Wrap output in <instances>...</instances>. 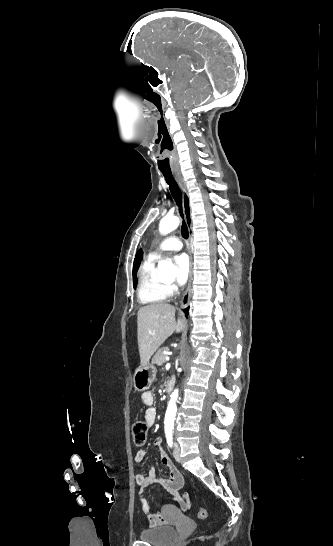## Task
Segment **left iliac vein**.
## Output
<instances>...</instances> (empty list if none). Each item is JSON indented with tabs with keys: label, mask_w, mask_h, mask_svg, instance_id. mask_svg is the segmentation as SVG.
<instances>
[{
	"label": "left iliac vein",
	"mask_w": 333,
	"mask_h": 546,
	"mask_svg": "<svg viewBox=\"0 0 333 546\" xmlns=\"http://www.w3.org/2000/svg\"><path fill=\"white\" fill-rule=\"evenodd\" d=\"M173 456L175 460L180 461L181 450H180V446L177 443L174 444Z\"/></svg>",
	"instance_id": "4c4485c4"
}]
</instances>
